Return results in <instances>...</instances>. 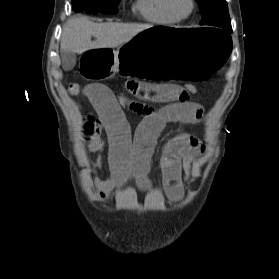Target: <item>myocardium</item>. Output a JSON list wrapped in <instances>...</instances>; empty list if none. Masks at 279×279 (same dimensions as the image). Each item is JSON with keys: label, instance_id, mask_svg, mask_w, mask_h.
I'll return each instance as SVG.
<instances>
[{"label": "myocardium", "instance_id": "f54148a6", "mask_svg": "<svg viewBox=\"0 0 279 279\" xmlns=\"http://www.w3.org/2000/svg\"><path fill=\"white\" fill-rule=\"evenodd\" d=\"M190 2V9L188 11V13L184 14V15H180L177 14L174 9H173V0H165V9L168 12V14L174 18L177 21L180 20H185L187 18H189L195 11L196 9V1L195 0H189Z\"/></svg>", "mask_w": 279, "mask_h": 279}]
</instances>
